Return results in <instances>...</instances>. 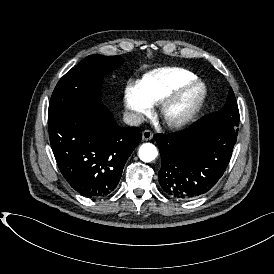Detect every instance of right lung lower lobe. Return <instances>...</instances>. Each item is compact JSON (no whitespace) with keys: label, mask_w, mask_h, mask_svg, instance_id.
Returning a JSON list of instances; mask_svg holds the SVG:
<instances>
[{"label":"right lung lower lobe","mask_w":274,"mask_h":274,"mask_svg":"<svg viewBox=\"0 0 274 274\" xmlns=\"http://www.w3.org/2000/svg\"><path fill=\"white\" fill-rule=\"evenodd\" d=\"M51 147L66 181L81 195H110L142 138L138 127H120L102 103L64 111L48 119Z\"/></svg>","instance_id":"obj_1"}]
</instances>
